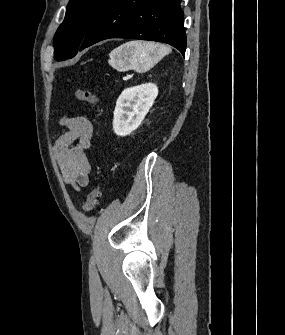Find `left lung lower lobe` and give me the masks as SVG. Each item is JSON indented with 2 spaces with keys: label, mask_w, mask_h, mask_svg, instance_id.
Instances as JSON below:
<instances>
[{
  "label": "left lung lower lobe",
  "mask_w": 285,
  "mask_h": 335,
  "mask_svg": "<svg viewBox=\"0 0 285 335\" xmlns=\"http://www.w3.org/2000/svg\"><path fill=\"white\" fill-rule=\"evenodd\" d=\"M109 38L158 41L186 50L180 0H110L85 35L79 50Z\"/></svg>",
  "instance_id": "0a47b994"
}]
</instances>
